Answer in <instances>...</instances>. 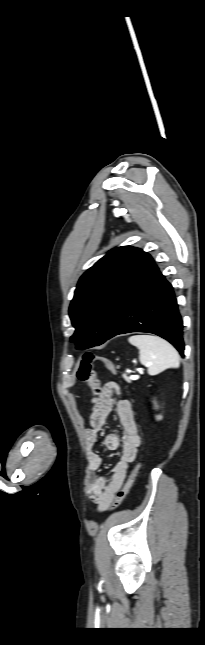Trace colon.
Returning <instances> with one entry per match:
<instances>
[{
    "label": "colon",
    "mask_w": 205,
    "mask_h": 645,
    "mask_svg": "<svg viewBox=\"0 0 205 645\" xmlns=\"http://www.w3.org/2000/svg\"><path fill=\"white\" fill-rule=\"evenodd\" d=\"M96 362H98L101 365H103L104 367H106L112 373H116V367H115L114 363L111 360H109V359H107L105 357L97 356V355H95L93 353H90V352L86 353L82 357V359H81V361H80V363L78 365L77 371H76V376L81 382L86 383L88 385V387L91 389V391L93 393V396H94L93 400H92L93 402L96 401V399L98 398V396L101 393L100 381H99V379L97 377V374H96V372L94 370V363H96ZM111 386L115 387V385L113 383H111ZM140 467H141V463H138L133 468V470L131 471V473H130L128 479H127V481L125 482L123 487L116 494V496H115V498H114V500L112 502L110 510H115L120 506V504L122 503V501L124 500L126 495L129 493Z\"/></svg>",
    "instance_id": "obj_1"
}]
</instances>
